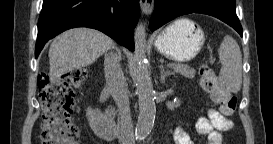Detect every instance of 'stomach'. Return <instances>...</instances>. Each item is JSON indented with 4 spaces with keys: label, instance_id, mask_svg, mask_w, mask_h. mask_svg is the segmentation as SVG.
Returning <instances> with one entry per match:
<instances>
[{
    "label": "stomach",
    "instance_id": "stomach-1",
    "mask_svg": "<svg viewBox=\"0 0 273 144\" xmlns=\"http://www.w3.org/2000/svg\"><path fill=\"white\" fill-rule=\"evenodd\" d=\"M205 42L203 30L189 19L181 18L162 30L154 41L156 50L176 62L193 59Z\"/></svg>",
    "mask_w": 273,
    "mask_h": 144
}]
</instances>
